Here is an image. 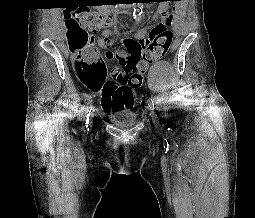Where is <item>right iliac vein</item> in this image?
<instances>
[{
  "label": "right iliac vein",
  "instance_id": "obj_1",
  "mask_svg": "<svg viewBox=\"0 0 255 218\" xmlns=\"http://www.w3.org/2000/svg\"><path fill=\"white\" fill-rule=\"evenodd\" d=\"M93 117H94V113H93V111H91V112H90V122H92Z\"/></svg>",
  "mask_w": 255,
  "mask_h": 218
}]
</instances>
